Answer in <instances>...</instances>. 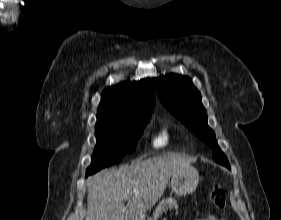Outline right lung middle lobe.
Wrapping results in <instances>:
<instances>
[{"label":"right lung middle lobe","instance_id":"obj_1","mask_svg":"<svg viewBox=\"0 0 281 220\" xmlns=\"http://www.w3.org/2000/svg\"><path fill=\"white\" fill-rule=\"evenodd\" d=\"M150 117L146 115L113 124H96L97 145L86 176L118 163L126 153H132Z\"/></svg>","mask_w":281,"mask_h":220}]
</instances>
